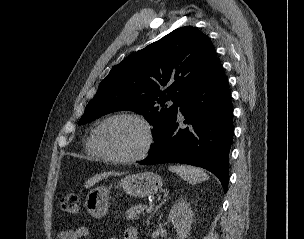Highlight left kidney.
Wrapping results in <instances>:
<instances>
[{
    "instance_id": "left-kidney-1",
    "label": "left kidney",
    "mask_w": 304,
    "mask_h": 239,
    "mask_svg": "<svg viewBox=\"0 0 304 239\" xmlns=\"http://www.w3.org/2000/svg\"><path fill=\"white\" fill-rule=\"evenodd\" d=\"M194 213L190 204L183 199H179L171 208L168 219L176 229L177 235L181 239H186L191 230Z\"/></svg>"
}]
</instances>
